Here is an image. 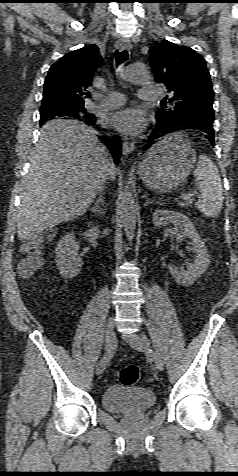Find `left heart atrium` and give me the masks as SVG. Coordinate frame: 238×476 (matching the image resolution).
Segmentation results:
<instances>
[{
    "label": "left heart atrium",
    "instance_id": "1",
    "mask_svg": "<svg viewBox=\"0 0 238 476\" xmlns=\"http://www.w3.org/2000/svg\"><path fill=\"white\" fill-rule=\"evenodd\" d=\"M107 122L118 131L128 135H137L145 128V118L140 110L134 108L110 114Z\"/></svg>",
    "mask_w": 238,
    "mask_h": 476
}]
</instances>
